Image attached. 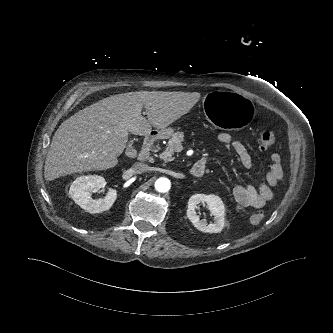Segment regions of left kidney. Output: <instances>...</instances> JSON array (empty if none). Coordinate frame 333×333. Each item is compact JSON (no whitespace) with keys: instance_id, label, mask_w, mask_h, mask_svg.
I'll list each match as a JSON object with an SVG mask.
<instances>
[{"instance_id":"5707ae66","label":"left kidney","mask_w":333,"mask_h":333,"mask_svg":"<svg viewBox=\"0 0 333 333\" xmlns=\"http://www.w3.org/2000/svg\"><path fill=\"white\" fill-rule=\"evenodd\" d=\"M200 202L207 203L208 209L214 216V223L207 224L205 219L200 220L195 211ZM187 217L199 231L218 233L224 228L225 207L221 198L216 195L194 194L188 201Z\"/></svg>"}]
</instances>
